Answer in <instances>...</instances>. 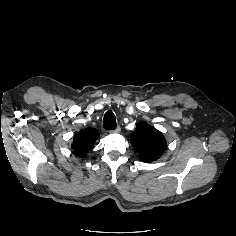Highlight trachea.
Wrapping results in <instances>:
<instances>
[{"mask_svg":"<svg viewBox=\"0 0 236 236\" xmlns=\"http://www.w3.org/2000/svg\"><path fill=\"white\" fill-rule=\"evenodd\" d=\"M116 118L112 111H107L103 118V128L106 130L116 129Z\"/></svg>","mask_w":236,"mask_h":236,"instance_id":"3493384b","label":"trachea"}]
</instances>
